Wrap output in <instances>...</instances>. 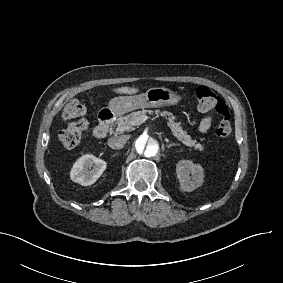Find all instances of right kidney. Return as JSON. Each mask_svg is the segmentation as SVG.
Segmentation results:
<instances>
[{"instance_id": "right-kidney-1", "label": "right kidney", "mask_w": 283, "mask_h": 283, "mask_svg": "<svg viewBox=\"0 0 283 283\" xmlns=\"http://www.w3.org/2000/svg\"><path fill=\"white\" fill-rule=\"evenodd\" d=\"M105 169V161L93 155H85L74 164L71 179L83 186H89L102 175Z\"/></svg>"}]
</instances>
